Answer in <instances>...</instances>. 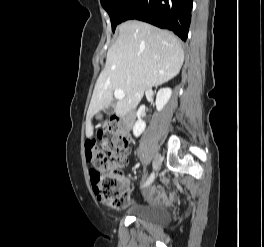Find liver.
Instances as JSON below:
<instances>
[{
    "label": "liver",
    "mask_w": 264,
    "mask_h": 247,
    "mask_svg": "<svg viewBox=\"0 0 264 247\" xmlns=\"http://www.w3.org/2000/svg\"><path fill=\"white\" fill-rule=\"evenodd\" d=\"M119 35L107 52L88 109L86 136H93L91 118L108 107L115 89H122L115 112L125 115L141 101L146 89L174 78L184 62L179 40L170 32L140 21H126L118 27Z\"/></svg>",
    "instance_id": "liver-1"
}]
</instances>
